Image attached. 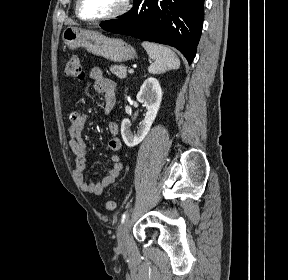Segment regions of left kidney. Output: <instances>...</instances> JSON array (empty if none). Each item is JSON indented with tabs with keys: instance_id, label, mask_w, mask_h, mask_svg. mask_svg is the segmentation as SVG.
Returning <instances> with one entry per match:
<instances>
[{
	"instance_id": "obj_1",
	"label": "left kidney",
	"mask_w": 288,
	"mask_h": 280,
	"mask_svg": "<svg viewBox=\"0 0 288 280\" xmlns=\"http://www.w3.org/2000/svg\"><path fill=\"white\" fill-rule=\"evenodd\" d=\"M137 100L146 107L147 113L136 133L131 131L129 119H124L122 121L121 135L128 147H134L141 143L150 131L162 100V89L159 81L153 77L145 80L137 94Z\"/></svg>"
}]
</instances>
